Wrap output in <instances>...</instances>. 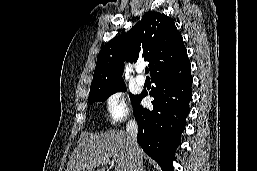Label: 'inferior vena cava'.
Returning a JSON list of instances; mask_svg holds the SVG:
<instances>
[{
    "label": "inferior vena cava",
    "mask_w": 257,
    "mask_h": 171,
    "mask_svg": "<svg viewBox=\"0 0 257 171\" xmlns=\"http://www.w3.org/2000/svg\"><path fill=\"white\" fill-rule=\"evenodd\" d=\"M126 131L130 139V156H131V171H143V167L138 154V124L135 119L129 120L126 125Z\"/></svg>",
    "instance_id": "602c4592"
}]
</instances>
